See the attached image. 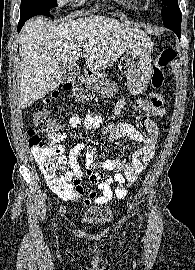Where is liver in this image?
<instances>
[{"label": "liver", "instance_id": "liver-1", "mask_svg": "<svg viewBox=\"0 0 195 270\" xmlns=\"http://www.w3.org/2000/svg\"><path fill=\"white\" fill-rule=\"evenodd\" d=\"M147 36L137 27L95 15L56 25L45 17L30 19L19 40L22 109L43 98L61 83V63H75L82 55L92 72L112 66L133 40ZM82 40V43L79 42Z\"/></svg>", "mask_w": 195, "mask_h": 270}]
</instances>
